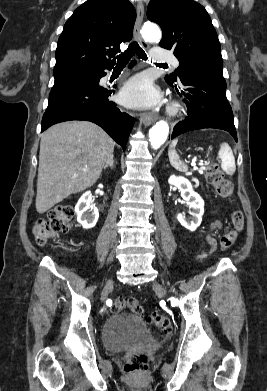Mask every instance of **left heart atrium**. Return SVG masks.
<instances>
[{"label": "left heart atrium", "mask_w": 267, "mask_h": 391, "mask_svg": "<svg viewBox=\"0 0 267 391\" xmlns=\"http://www.w3.org/2000/svg\"><path fill=\"white\" fill-rule=\"evenodd\" d=\"M122 102L131 107H151L158 103L160 94L147 75L131 78L122 88Z\"/></svg>", "instance_id": "obj_1"}]
</instances>
